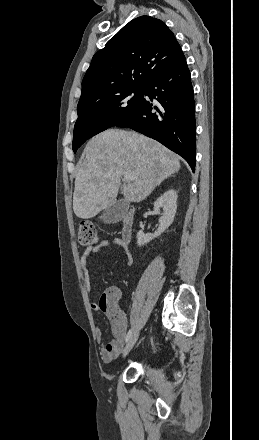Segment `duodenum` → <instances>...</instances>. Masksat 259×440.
<instances>
[{"mask_svg": "<svg viewBox=\"0 0 259 440\" xmlns=\"http://www.w3.org/2000/svg\"><path fill=\"white\" fill-rule=\"evenodd\" d=\"M134 218H135V209L130 207L128 208L122 218V228H121V237L126 242L129 243L134 228Z\"/></svg>", "mask_w": 259, "mask_h": 440, "instance_id": "1", "label": "duodenum"}]
</instances>
